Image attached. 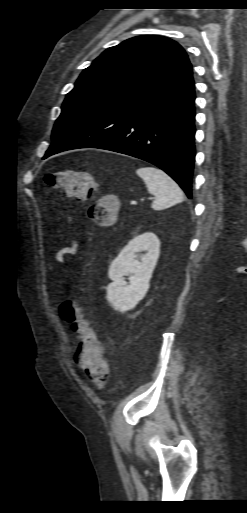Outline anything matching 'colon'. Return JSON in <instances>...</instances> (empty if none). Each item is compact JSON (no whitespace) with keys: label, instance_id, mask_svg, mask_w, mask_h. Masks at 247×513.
<instances>
[{"label":"colon","instance_id":"5ec220e1","mask_svg":"<svg viewBox=\"0 0 247 513\" xmlns=\"http://www.w3.org/2000/svg\"><path fill=\"white\" fill-rule=\"evenodd\" d=\"M46 183L52 188L63 190L68 198L77 200L90 199L94 193L95 181L91 173L68 169L46 175ZM118 204L115 197L106 195L99 204L87 208V218L101 226L108 227L117 220ZM61 316L71 325L78 340L70 348V357L75 361V369L85 379H90L96 386L103 387L108 380V364L104 359L105 349L101 340H97L90 320L82 308L71 299L60 305Z\"/></svg>","mask_w":247,"mask_h":513}]
</instances>
